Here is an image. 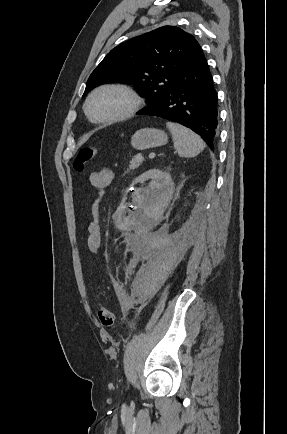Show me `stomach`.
Masks as SVG:
<instances>
[{
  "instance_id": "0dacf381",
  "label": "stomach",
  "mask_w": 287,
  "mask_h": 434,
  "mask_svg": "<svg viewBox=\"0 0 287 434\" xmlns=\"http://www.w3.org/2000/svg\"><path fill=\"white\" fill-rule=\"evenodd\" d=\"M167 142L166 133L153 128L140 129L131 138V145L138 150L159 147Z\"/></svg>"
}]
</instances>
